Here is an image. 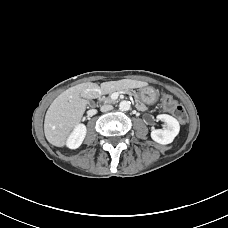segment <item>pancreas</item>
<instances>
[{"label":"pancreas","mask_w":228,"mask_h":228,"mask_svg":"<svg viewBox=\"0 0 228 228\" xmlns=\"http://www.w3.org/2000/svg\"><path fill=\"white\" fill-rule=\"evenodd\" d=\"M114 91H115V90H112V91H110L109 93H112V92H114ZM121 91H123V90H121ZM124 91H125L126 93H128L129 95L135 97L134 102H135V104H136V106H137V108H138L139 110H146V109H147V106H146V105H143V104L140 102V100L138 99V97H137V95H136L135 92H133L132 90H124ZM102 100H103L105 103H114V102H115L113 99H111L110 96H108V97H103Z\"/></svg>","instance_id":"obj_1"}]
</instances>
